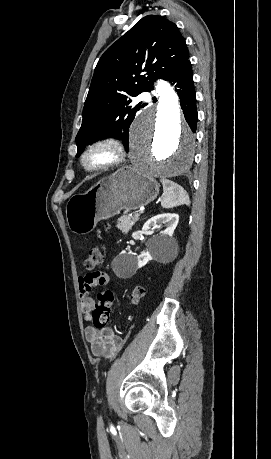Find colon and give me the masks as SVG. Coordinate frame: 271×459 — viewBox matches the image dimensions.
Here are the masks:
<instances>
[{"instance_id":"obj_1","label":"colon","mask_w":271,"mask_h":459,"mask_svg":"<svg viewBox=\"0 0 271 459\" xmlns=\"http://www.w3.org/2000/svg\"><path fill=\"white\" fill-rule=\"evenodd\" d=\"M103 263V254L98 247H92L88 251V256L85 260V267L88 270H93L100 267ZM144 294V289L140 286L136 287L131 295V300L136 303ZM114 301V295L111 291L106 290L98 294L97 302L92 311L91 322L94 327L102 328L109 321L111 307Z\"/></svg>"}]
</instances>
